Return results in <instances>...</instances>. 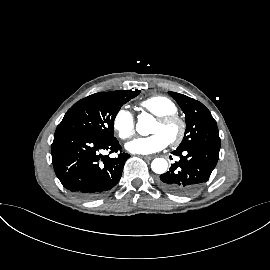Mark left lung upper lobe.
Returning a JSON list of instances; mask_svg holds the SVG:
<instances>
[{
  "instance_id": "5c2ea615",
  "label": "left lung upper lobe",
  "mask_w": 270,
  "mask_h": 270,
  "mask_svg": "<svg viewBox=\"0 0 270 270\" xmlns=\"http://www.w3.org/2000/svg\"><path fill=\"white\" fill-rule=\"evenodd\" d=\"M185 114L187 124L185 136L179 149L195 145H206L220 148L221 140L216 121L210 111L199 101L183 94L169 92Z\"/></svg>"
}]
</instances>
